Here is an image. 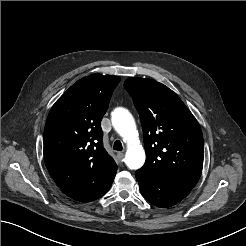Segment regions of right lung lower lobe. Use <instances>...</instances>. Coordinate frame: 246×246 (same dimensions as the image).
Returning a JSON list of instances; mask_svg holds the SVG:
<instances>
[{
  "label": "right lung lower lobe",
  "mask_w": 246,
  "mask_h": 246,
  "mask_svg": "<svg viewBox=\"0 0 246 246\" xmlns=\"http://www.w3.org/2000/svg\"><path fill=\"white\" fill-rule=\"evenodd\" d=\"M112 182L109 183V185L105 186L104 188L91 186L87 188L64 190L63 192L74 200L80 202H91L103 196L109 190Z\"/></svg>",
  "instance_id": "1"
}]
</instances>
